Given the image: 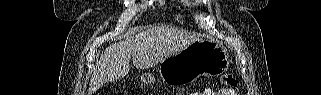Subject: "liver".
I'll return each instance as SVG.
<instances>
[{
    "mask_svg": "<svg viewBox=\"0 0 321 95\" xmlns=\"http://www.w3.org/2000/svg\"><path fill=\"white\" fill-rule=\"evenodd\" d=\"M197 40V35L187 31L155 27L111 44L94 68L88 95H92L106 82L126 76L131 57L134 66L147 69Z\"/></svg>",
    "mask_w": 321,
    "mask_h": 95,
    "instance_id": "obj_1",
    "label": "liver"
}]
</instances>
